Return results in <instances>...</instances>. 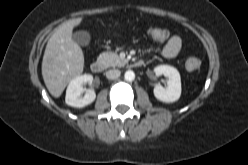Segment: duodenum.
<instances>
[{"mask_svg": "<svg viewBox=\"0 0 248 165\" xmlns=\"http://www.w3.org/2000/svg\"><path fill=\"white\" fill-rule=\"evenodd\" d=\"M143 65L142 61H135L132 63L133 67H141ZM105 64L102 60H94L91 65L90 69L94 73H100L104 70Z\"/></svg>", "mask_w": 248, "mask_h": 165, "instance_id": "410a0bca", "label": "duodenum"}]
</instances>
